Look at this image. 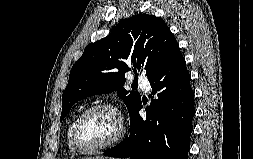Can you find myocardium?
I'll list each match as a JSON object with an SVG mask.
<instances>
[{"label":"myocardium","instance_id":"f54148a6","mask_svg":"<svg viewBox=\"0 0 253 159\" xmlns=\"http://www.w3.org/2000/svg\"><path fill=\"white\" fill-rule=\"evenodd\" d=\"M98 109H107L115 114V116L117 117V121H118V131H117L116 135L111 140H109L108 142H106L104 144H101L99 146L92 147V148H83L79 145L78 139H77L79 125H80L81 121L83 120V118L88 113H90L94 110H98ZM125 134H126V121H125L124 115L121 112V110L116 105L109 103V102L96 103V104H93V105L85 108L75 118V120L72 124V127H71L70 144H71L72 149H74L75 151H77L81 154H93V153H96V152H99V151H102V150H105V149L115 146L120 141H122Z\"/></svg>","mask_w":253,"mask_h":159}]
</instances>
